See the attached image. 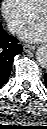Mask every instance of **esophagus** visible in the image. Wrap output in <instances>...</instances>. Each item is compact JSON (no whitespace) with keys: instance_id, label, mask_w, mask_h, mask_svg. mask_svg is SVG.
<instances>
[{"instance_id":"esophagus-1","label":"esophagus","mask_w":47,"mask_h":129,"mask_svg":"<svg viewBox=\"0 0 47 129\" xmlns=\"http://www.w3.org/2000/svg\"><path fill=\"white\" fill-rule=\"evenodd\" d=\"M23 50L25 52H31V51H34L35 50V46L29 45V44H24L23 45Z\"/></svg>"}]
</instances>
